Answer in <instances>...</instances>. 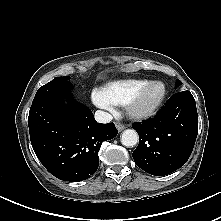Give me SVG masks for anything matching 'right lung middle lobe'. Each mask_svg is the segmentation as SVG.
<instances>
[{
	"mask_svg": "<svg viewBox=\"0 0 221 221\" xmlns=\"http://www.w3.org/2000/svg\"><path fill=\"white\" fill-rule=\"evenodd\" d=\"M68 79V76L55 77L52 81L38 89L33 102L53 94L67 93L72 89Z\"/></svg>",
	"mask_w": 221,
	"mask_h": 221,
	"instance_id": "dd1d6c3e",
	"label": "right lung middle lobe"
}]
</instances>
